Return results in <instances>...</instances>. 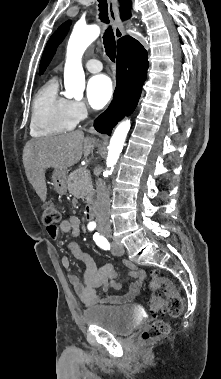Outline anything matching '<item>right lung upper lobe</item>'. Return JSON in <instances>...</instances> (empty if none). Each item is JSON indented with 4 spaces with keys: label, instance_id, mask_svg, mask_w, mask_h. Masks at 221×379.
Listing matches in <instances>:
<instances>
[{
    "label": "right lung upper lobe",
    "instance_id": "right-lung-upper-lobe-1",
    "mask_svg": "<svg viewBox=\"0 0 221 379\" xmlns=\"http://www.w3.org/2000/svg\"><path fill=\"white\" fill-rule=\"evenodd\" d=\"M130 12L128 11V10H123V11H121V17H122V19H127V18H129L130 17Z\"/></svg>",
    "mask_w": 221,
    "mask_h": 379
}]
</instances>
